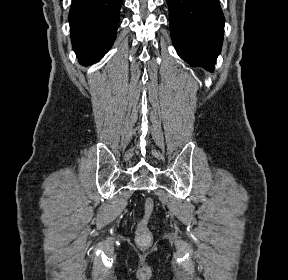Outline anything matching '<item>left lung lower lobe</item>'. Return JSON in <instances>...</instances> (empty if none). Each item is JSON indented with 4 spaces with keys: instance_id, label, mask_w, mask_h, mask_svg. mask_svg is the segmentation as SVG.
I'll use <instances>...</instances> for the list:
<instances>
[{
    "instance_id": "0a47b994",
    "label": "left lung lower lobe",
    "mask_w": 288,
    "mask_h": 280,
    "mask_svg": "<svg viewBox=\"0 0 288 280\" xmlns=\"http://www.w3.org/2000/svg\"><path fill=\"white\" fill-rule=\"evenodd\" d=\"M171 38L178 55L193 66L215 68L223 42L218 0H167Z\"/></svg>"
}]
</instances>
